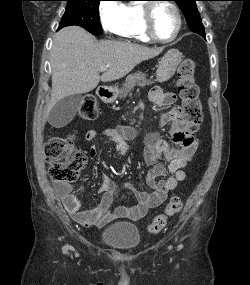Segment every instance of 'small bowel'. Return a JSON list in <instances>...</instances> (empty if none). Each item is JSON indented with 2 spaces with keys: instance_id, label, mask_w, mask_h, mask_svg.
<instances>
[{
  "instance_id": "small-bowel-1",
  "label": "small bowel",
  "mask_w": 250,
  "mask_h": 285,
  "mask_svg": "<svg viewBox=\"0 0 250 285\" xmlns=\"http://www.w3.org/2000/svg\"><path fill=\"white\" fill-rule=\"evenodd\" d=\"M149 98L157 106L167 107L174 101V95L162 88L156 87L151 90ZM159 125H170L169 135L172 142L161 138L155 132L146 134V148L144 152L145 163L150 167L146 184L150 191H139L131 183H126L125 188L132 191L137 199L135 206H118L111 210L117 188L114 182L106 175L101 176L100 191L102 197L98 205L92 210L82 209L80 199L73 193L69 183L58 182L56 190L63 205L74 221L85 227H103L116 219L139 220L150 209L159 206L167 197L169 191L174 190L179 182L186 178L184 167L191 160L197 148V142L193 134L187 132L181 116V108L175 106L164 113L158 120ZM99 133L97 130H88L85 139L93 142ZM104 135L114 143L115 150L121 156L128 153L129 140L136 138L139 131L132 126H118L108 128ZM90 157L97 156V148L91 145ZM165 159L168 162L169 177H164L166 171L158 164V160Z\"/></svg>"
}]
</instances>
